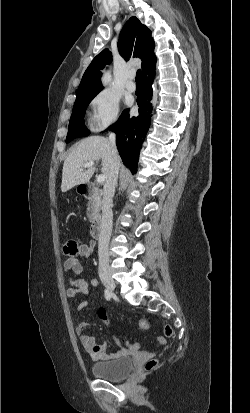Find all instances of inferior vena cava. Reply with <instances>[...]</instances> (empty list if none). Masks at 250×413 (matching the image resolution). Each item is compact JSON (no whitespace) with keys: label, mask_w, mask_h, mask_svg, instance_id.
Here are the masks:
<instances>
[{"label":"inferior vena cava","mask_w":250,"mask_h":413,"mask_svg":"<svg viewBox=\"0 0 250 413\" xmlns=\"http://www.w3.org/2000/svg\"><path fill=\"white\" fill-rule=\"evenodd\" d=\"M111 148V170L108 179L104 185L102 200V218L100 224V235L98 240L99 267H109L108 244L112 232V198L117 184L118 172L120 168V159L116 148V135H109Z\"/></svg>","instance_id":"inferior-vena-cava-1"}]
</instances>
